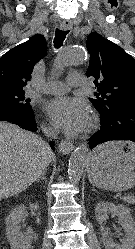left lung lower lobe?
Listing matches in <instances>:
<instances>
[{
  "label": "left lung lower lobe",
  "instance_id": "1",
  "mask_svg": "<svg viewBox=\"0 0 135 249\" xmlns=\"http://www.w3.org/2000/svg\"><path fill=\"white\" fill-rule=\"evenodd\" d=\"M101 129L89 141L92 150L98 144L112 140L135 142V105H118L101 115Z\"/></svg>",
  "mask_w": 135,
  "mask_h": 249
}]
</instances>
